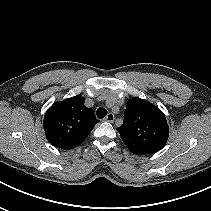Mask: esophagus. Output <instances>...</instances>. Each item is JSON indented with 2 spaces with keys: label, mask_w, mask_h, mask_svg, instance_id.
I'll return each mask as SVG.
<instances>
[{
  "label": "esophagus",
  "mask_w": 211,
  "mask_h": 211,
  "mask_svg": "<svg viewBox=\"0 0 211 211\" xmlns=\"http://www.w3.org/2000/svg\"><path fill=\"white\" fill-rule=\"evenodd\" d=\"M114 119H115V116L112 113H109L105 118L106 121L111 122V123L114 121Z\"/></svg>",
  "instance_id": "obj_1"
}]
</instances>
